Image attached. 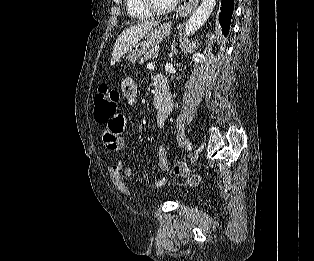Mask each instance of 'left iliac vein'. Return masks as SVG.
<instances>
[{
    "instance_id": "obj_1",
    "label": "left iliac vein",
    "mask_w": 314,
    "mask_h": 261,
    "mask_svg": "<svg viewBox=\"0 0 314 261\" xmlns=\"http://www.w3.org/2000/svg\"><path fill=\"white\" fill-rule=\"evenodd\" d=\"M200 155V150L198 148H195L191 154V162H195Z\"/></svg>"
}]
</instances>
